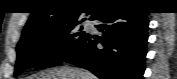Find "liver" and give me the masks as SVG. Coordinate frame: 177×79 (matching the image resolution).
<instances>
[{"mask_svg": "<svg viewBox=\"0 0 177 79\" xmlns=\"http://www.w3.org/2000/svg\"><path fill=\"white\" fill-rule=\"evenodd\" d=\"M28 79H97L91 72L70 66L47 69L34 74Z\"/></svg>", "mask_w": 177, "mask_h": 79, "instance_id": "liver-1", "label": "liver"}]
</instances>
